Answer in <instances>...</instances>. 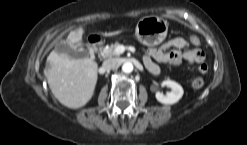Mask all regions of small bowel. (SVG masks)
Here are the masks:
<instances>
[{"mask_svg": "<svg viewBox=\"0 0 247 145\" xmlns=\"http://www.w3.org/2000/svg\"><path fill=\"white\" fill-rule=\"evenodd\" d=\"M200 44V39L196 35H191L187 40L176 37L168 40L157 48L149 49L144 56V63L147 69L154 75L159 73V67L155 61L179 65L183 62L188 64H200L205 60V53L196 48ZM193 45L195 48H190Z\"/></svg>", "mask_w": 247, "mask_h": 145, "instance_id": "small-bowel-1", "label": "small bowel"}]
</instances>
